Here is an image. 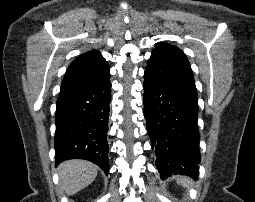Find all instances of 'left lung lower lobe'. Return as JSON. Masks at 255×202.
<instances>
[{
  "label": "left lung lower lobe",
  "mask_w": 255,
  "mask_h": 202,
  "mask_svg": "<svg viewBox=\"0 0 255 202\" xmlns=\"http://www.w3.org/2000/svg\"><path fill=\"white\" fill-rule=\"evenodd\" d=\"M144 116L161 178H197L200 163L197 93L171 87L145 74Z\"/></svg>",
  "instance_id": "left-lung-lower-lobe-1"
}]
</instances>
